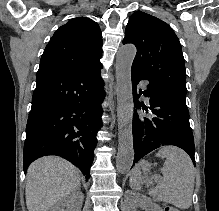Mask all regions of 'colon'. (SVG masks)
Returning a JSON list of instances; mask_svg holds the SVG:
<instances>
[{
	"label": "colon",
	"instance_id": "1",
	"mask_svg": "<svg viewBox=\"0 0 219 211\" xmlns=\"http://www.w3.org/2000/svg\"><path fill=\"white\" fill-rule=\"evenodd\" d=\"M164 211H178L176 208L168 206L164 208Z\"/></svg>",
	"mask_w": 219,
	"mask_h": 211
}]
</instances>
